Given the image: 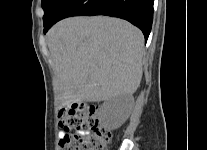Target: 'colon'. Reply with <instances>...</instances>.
<instances>
[{
	"mask_svg": "<svg viewBox=\"0 0 207 150\" xmlns=\"http://www.w3.org/2000/svg\"><path fill=\"white\" fill-rule=\"evenodd\" d=\"M58 118L61 128L77 132L60 139L61 150H106L111 133L99 127L96 108L61 109Z\"/></svg>",
	"mask_w": 207,
	"mask_h": 150,
	"instance_id": "obj_1",
	"label": "colon"
}]
</instances>
